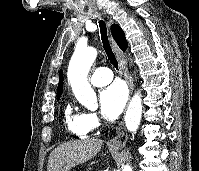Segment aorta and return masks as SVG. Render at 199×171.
Listing matches in <instances>:
<instances>
[{
  "label": "aorta",
  "instance_id": "762f6f07",
  "mask_svg": "<svg viewBox=\"0 0 199 171\" xmlns=\"http://www.w3.org/2000/svg\"><path fill=\"white\" fill-rule=\"evenodd\" d=\"M97 51L92 47L76 48L68 67V81L77 100L88 109H96L97 97L88 82L87 75L95 61ZM142 114V99L139 93L131 99L125 115L126 128L134 132L138 129ZM122 171H132L128 165Z\"/></svg>",
  "mask_w": 199,
  "mask_h": 171
}]
</instances>
